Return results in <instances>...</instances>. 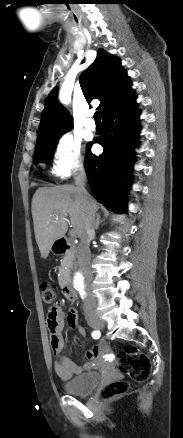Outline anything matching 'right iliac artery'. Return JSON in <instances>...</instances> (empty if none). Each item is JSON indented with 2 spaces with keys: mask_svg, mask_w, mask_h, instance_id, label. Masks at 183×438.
<instances>
[{
  "mask_svg": "<svg viewBox=\"0 0 183 438\" xmlns=\"http://www.w3.org/2000/svg\"><path fill=\"white\" fill-rule=\"evenodd\" d=\"M92 337H93L94 339H98V338L100 337V331H93V333H92Z\"/></svg>",
  "mask_w": 183,
  "mask_h": 438,
  "instance_id": "obj_1",
  "label": "right iliac artery"
}]
</instances>
